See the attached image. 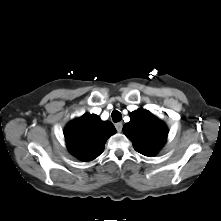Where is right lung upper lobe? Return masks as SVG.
I'll list each match as a JSON object with an SVG mask.
<instances>
[{
  "mask_svg": "<svg viewBox=\"0 0 221 221\" xmlns=\"http://www.w3.org/2000/svg\"><path fill=\"white\" fill-rule=\"evenodd\" d=\"M115 133L111 122L102 121L95 114H84L67 125L65 139L70 152L86 162L98 157L104 150L107 138Z\"/></svg>",
  "mask_w": 221,
  "mask_h": 221,
  "instance_id": "obj_1",
  "label": "right lung upper lobe"
}]
</instances>
